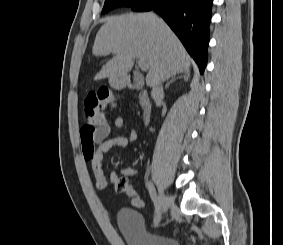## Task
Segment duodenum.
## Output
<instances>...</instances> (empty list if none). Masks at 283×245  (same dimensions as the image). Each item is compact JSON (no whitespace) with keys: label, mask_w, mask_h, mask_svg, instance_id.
Masks as SVG:
<instances>
[{"label":"duodenum","mask_w":283,"mask_h":245,"mask_svg":"<svg viewBox=\"0 0 283 245\" xmlns=\"http://www.w3.org/2000/svg\"><path fill=\"white\" fill-rule=\"evenodd\" d=\"M139 104L142 109V116L144 123L149 121L151 105L148 93L145 90H142L139 94Z\"/></svg>","instance_id":"410a0bca"}]
</instances>
